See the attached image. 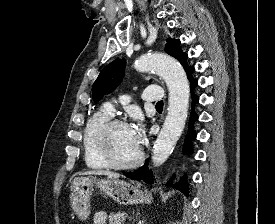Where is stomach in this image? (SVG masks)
Returning a JSON list of instances; mask_svg holds the SVG:
<instances>
[{"instance_id": "1", "label": "stomach", "mask_w": 275, "mask_h": 224, "mask_svg": "<svg viewBox=\"0 0 275 224\" xmlns=\"http://www.w3.org/2000/svg\"><path fill=\"white\" fill-rule=\"evenodd\" d=\"M94 187L123 205L139 204L147 199V193L139 185L113 178L77 177L71 184L70 202L80 219L90 215V195Z\"/></svg>"}]
</instances>
